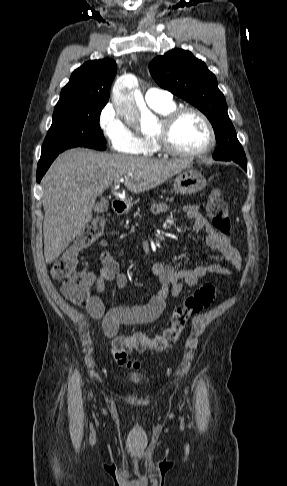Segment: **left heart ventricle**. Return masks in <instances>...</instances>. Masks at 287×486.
<instances>
[{"mask_svg": "<svg viewBox=\"0 0 287 486\" xmlns=\"http://www.w3.org/2000/svg\"><path fill=\"white\" fill-rule=\"evenodd\" d=\"M158 128L159 125L155 132ZM170 140L172 145L181 151H196L207 144L208 134L204 123L197 115L186 113L175 123Z\"/></svg>", "mask_w": 287, "mask_h": 486, "instance_id": "obj_1", "label": "left heart ventricle"}]
</instances>
